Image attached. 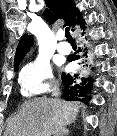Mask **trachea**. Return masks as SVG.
I'll use <instances>...</instances> for the list:
<instances>
[{"label": "trachea", "mask_w": 117, "mask_h": 136, "mask_svg": "<svg viewBox=\"0 0 117 136\" xmlns=\"http://www.w3.org/2000/svg\"><path fill=\"white\" fill-rule=\"evenodd\" d=\"M65 36L68 41H73V38H72L68 28H65Z\"/></svg>", "instance_id": "1"}]
</instances>
